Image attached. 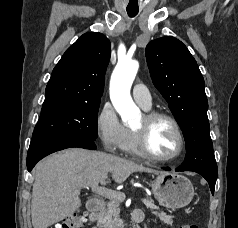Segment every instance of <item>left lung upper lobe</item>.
<instances>
[{
  "label": "left lung upper lobe",
  "mask_w": 238,
  "mask_h": 228,
  "mask_svg": "<svg viewBox=\"0 0 238 228\" xmlns=\"http://www.w3.org/2000/svg\"><path fill=\"white\" fill-rule=\"evenodd\" d=\"M145 52L153 84L168 102L185 138L187 154L181 166L217 173L205 83L195 59L172 36L151 41Z\"/></svg>",
  "instance_id": "1"
}]
</instances>
